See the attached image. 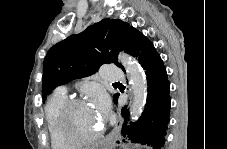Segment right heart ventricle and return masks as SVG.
Masks as SVG:
<instances>
[{
	"instance_id": "1",
	"label": "right heart ventricle",
	"mask_w": 227,
	"mask_h": 149,
	"mask_svg": "<svg viewBox=\"0 0 227 149\" xmlns=\"http://www.w3.org/2000/svg\"><path fill=\"white\" fill-rule=\"evenodd\" d=\"M67 100L66 93L58 90L49 98L45 106V117L52 149H68L69 146H72L61 137L57 123L59 110Z\"/></svg>"
}]
</instances>
